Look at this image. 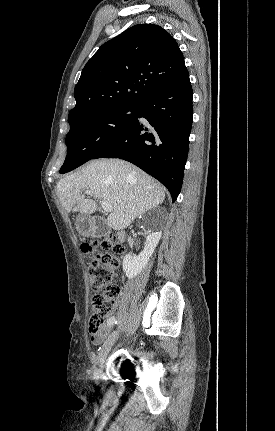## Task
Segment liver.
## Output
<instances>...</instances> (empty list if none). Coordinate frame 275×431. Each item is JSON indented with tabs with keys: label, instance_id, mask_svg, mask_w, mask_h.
I'll return each mask as SVG.
<instances>
[{
	"label": "liver",
	"instance_id": "obj_1",
	"mask_svg": "<svg viewBox=\"0 0 275 431\" xmlns=\"http://www.w3.org/2000/svg\"><path fill=\"white\" fill-rule=\"evenodd\" d=\"M87 190L93 191L97 199L112 205L107 224L118 231L127 228L136 217L165 199L164 189L156 180L120 159L91 161L57 184L60 202L68 213L90 215L96 211L97 203L82 194Z\"/></svg>",
	"mask_w": 275,
	"mask_h": 431
}]
</instances>
